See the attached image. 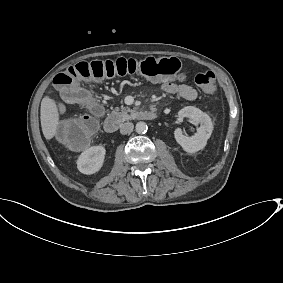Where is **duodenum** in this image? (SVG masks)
<instances>
[{"label":"duodenum","mask_w":283,"mask_h":283,"mask_svg":"<svg viewBox=\"0 0 283 283\" xmlns=\"http://www.w3.org/2000/svg\"><path fill=\"white\" fill-rule=\"evenodd\" d=\"M158 115L156 112L153 111H144L139 114V118L142 120H155L157 119ZM119 127V120L115 116H109L105 119L104 128L107 133H115L117 132Z\"/></svg>","instance_id":"410a0bca"}]
</instances>
